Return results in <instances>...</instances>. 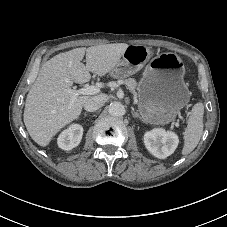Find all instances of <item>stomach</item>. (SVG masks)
<instances>
[{"label":"stomach","mask_w":227,"mask_h":227,"mask_svg":"<svg viewBox=\"0 0 227 227\" xmlns=\"http://www.w3.org/2000/svg\"><path fill=\"white\" fill-rule=\"evenodd\" d=\"M151 56L149 47L129 45L109 74L124 78L146 66L137 88L140 118L146 123L165 125L187 105L190 91L184 82V63L178 55L163 53L153 59Z\"/></svg>","instance_id":"0dacf381"}]
</instances>
